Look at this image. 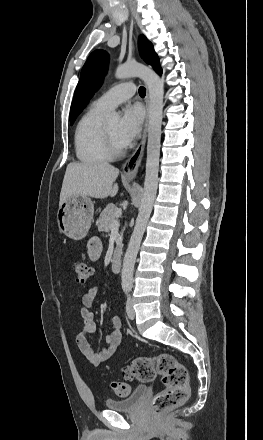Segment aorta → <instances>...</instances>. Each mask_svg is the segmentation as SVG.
<instances>
[{
    "label": "aorta",
    "mask_w": 263,
    "mask_h": 440,
    "mask_svg": "<svg viewBox=\"0 0 263 440\" xmlns=\"http://www.w3.org/2000/svg\"><path fill=\"white\" fill-rule=\"evenodd\" d=\"M115 77L117 79L139 77L145 82L149 91V125L144 192L136 224L123 260L121 273L122 286L130 288L133 283L136 257L157 193L164 91L159 76L150 68L139 63L119 65ZM106 117L110 121L118 120L119 114L109 112Z\"/></svg>",
    "instance_id": "762f6f07"
}]
</instances>
